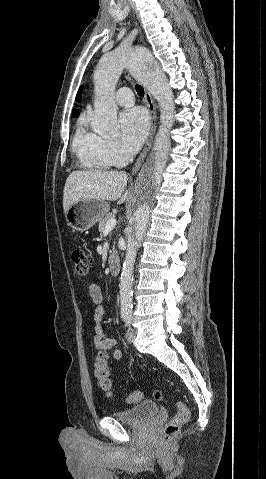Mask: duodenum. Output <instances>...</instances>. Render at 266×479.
<instances>
[{
  "label": "duodenum",
  "instance_id": "1",
  "mask_svg": "<svg viewBox=\"0 0 266 479\" xmlns=\"http://www.w3.org/2000/svg\"><path fill=\"white\" fill-rule=\"evenodd\" d=\"M121 261L120 256L116 251H111L109 254V269L112 276H117L120 272Z\"/></svg>",
  "mask_w": 266,
  "mask_h": 479
}]
</instances>
